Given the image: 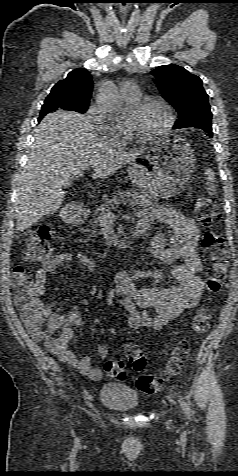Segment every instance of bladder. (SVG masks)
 Masks as SVG:
<instances>
[{
	"label": "bladder",
	"mask_w": 238,
	"mask_h": 476,
	"mask_svg": "<svg viewBox=\"0 0 238 476\" xmlns=\"http://www.w3.org/2000/svg\"><path fill=\"white\" fill-rule=\"evenodd\" d=\"M101 403L116 411H130L139 404L136 391L117 383H109L103 386L100 392Z\"/></svg>",
	"instance_id": "1"
}]
</instances>
